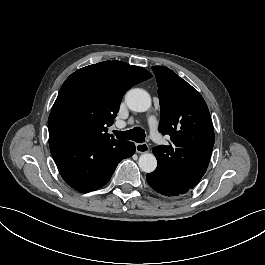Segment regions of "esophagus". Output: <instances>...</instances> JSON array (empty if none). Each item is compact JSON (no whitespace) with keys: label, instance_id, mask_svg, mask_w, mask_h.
<instances>
[{"label":"esophagus","instance_id":"1","mask_svg":"<svg viewBox=\"0 0 265 265\" xmlns=\"http://www.w3.org/2000/svg\"><path fill=\"white\" fill-rule=\"evenodd\" d=\"M135 147L137 153H146L149 151V146L147 143H136Z\"/></svg>","mask_w":265,"mask_h":265}]
</instances>
